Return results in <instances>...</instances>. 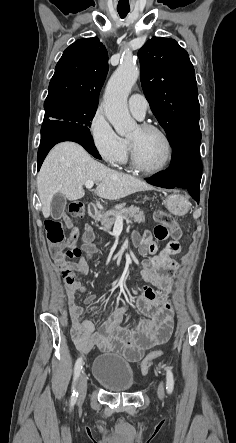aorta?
I'll use <instances>...</instances> for the list:
<instances>
[{
	"label": "aorta",
	"mask_w": 236,
	"mask_h": 443,
	"mask_svg": "<svg viewBox=\"0 0 236 443\" xmlns=\"http://www.w3.org/2000/svg\"><path fill=\"white\" fill-rule=\"evenodd\" d=\"M139 73L135 63L123 61L112 74L105 89V115L120 136H127L136 126L128 111L127 98Z\"/></svg>",
	"instance_id": "aorta-1"
}]
</instances>
